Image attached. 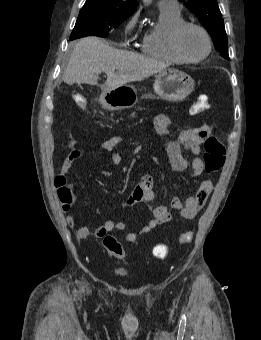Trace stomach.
<instances>
[{"mask_svg":"<svg viewBox=\"0 0 261 340\" xmlns=\"http://www.w3.org/2000/svg\"><path fill=\"white\" fill-rule=\"evenodd\" d=\"M195 82L191 76L177 69L169 68L159 72L153 85L155 94L171 102L183 101L193 90ZM151 98L152 95L147 94ZM139 100L133 85L103 88L99 102L107 110H123L133 107Z\"/></svg>","mask_w":261,"mask_h":340,"instance_id":"obj_1","label":"stomach"}]
</instances>
